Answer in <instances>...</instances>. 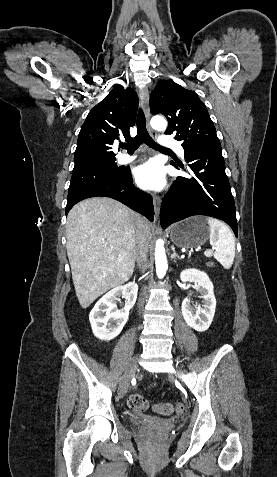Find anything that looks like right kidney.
I'll return each instance as SVG.
<instances>
[{"label": "right kidney", "instance_id": "right-kidney-1", "mask_svg": "<svg viewBox=\"0 0 277 477\" xmlns=\"http://www.w3.org/2000/svg\"><path fill=\"white\" fill-rule=\"evenodd\" d=\"M138 293V285L129 282L117 286L106 293L94 306L89 314L92 331L101 340H112L117 337L126 324L129 311L134 306ZM121 296L126 299L122 310L117 309V301ZM114 322L115 325L111 324Z\"/></svg>", "mask_w": 277, "mask_h": 477}]
</instances>
